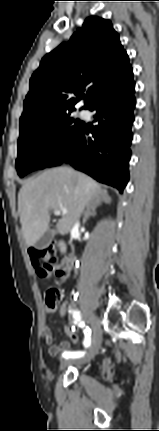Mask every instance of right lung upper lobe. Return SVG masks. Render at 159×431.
Wrapping results in <instances>:
<instances>
[{"label":"right lung upper lobe","mask_w":159,"mask_h":431,"mask_svg":"<svg viewBox=\"0 0 159 431\" xmlns=\"http://www.w3.org/2000/svg\"><path fill=\"white\" fill-rule=\"evenodd\" d=\"M132 76L128 55L112 23L89 17L67 43L42 58L30 79L20 131L74 110L85 90L84 108L89 109L104 93Z\"/></svg>","instance_id":"right-lung-upper-lobe-1"}]
</instances>
